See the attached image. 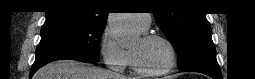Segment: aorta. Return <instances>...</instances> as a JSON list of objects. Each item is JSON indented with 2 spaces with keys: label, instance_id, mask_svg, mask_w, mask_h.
I'll return each instance as SVG.
<instances>
[{
  "label": "aorta",
  "instance_id": "1",
  "mask_svg": "<svg viewBox=\"0 0 255 79\" xmlns=\"http://www.w3.org/2000/svg\"><path fill=\"white\" fill-rule=\"evenodd\" d=\"M108 24L121 47H129L138 38V33L131 23L130 13H110Z\"/></svg>",
  "mask_w": 255,
  "mask_h": 79
}]
</instances>
